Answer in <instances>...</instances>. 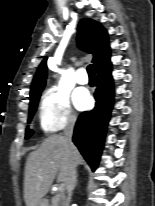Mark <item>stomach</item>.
Listing matches in <instances>:
<instances>
[{
	"mask_svg": "<svg viewBox=\"0 0 155 206\" xmlns=\"http://www.w3.org/2000/svg\"><path fill=\"white\" fill-rule=\"evenodd\" d=\"M37 206H48V203L46 200L42 199Z\"/></svg>",
	"mask_w": 155,
	"mask_h": 206,
	"instance_id": "0dacf381",
	"label": "stomach"
}]
</instances>
